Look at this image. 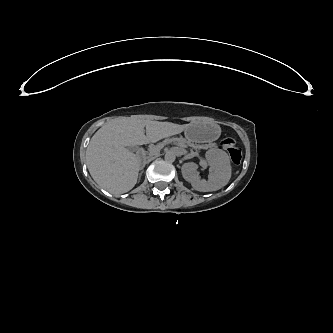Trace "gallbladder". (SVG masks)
Here are the masks:
<instances>
[{
    "mask_svg": "<svg viewBox=\"0 0 333 333\" xmlns=\"http://www.w3.org/2000/svg\"><path fill=\"white\" fill-rule=\"evenodd\" d=\"M129 150H133V147H128Z\"/></svg>",
    "mask_w": 333,
    "mask_h": 333,
    "instance_id": "bac80fb5",
    "label": "gallbladder"
}]
</instances>
